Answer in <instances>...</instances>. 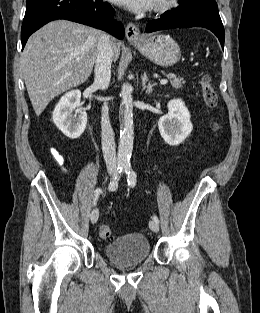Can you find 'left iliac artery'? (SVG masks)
<instances>
[{
  "label": "left iliac artery",
  "instance_id": "44dca946",
  "mask_svg": "<svg viewBox=\"0 0 260 313\" xmlns=\"http://www.w3.org/2000/svg\"><path fill=\"white\" fill-rule=\"evenodd\" d=\"M124 171L125 173L127 174V182H128V185L130 187H135L136 185V179H137V175L135 173V171L132 169L131 165L130 164H125L124 165ZM153 220L157 223H159V219L156 215H153Z\"/></svg>",
  "mask_w": 260,
  "mask_h": 313
}]
</instances>
